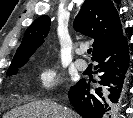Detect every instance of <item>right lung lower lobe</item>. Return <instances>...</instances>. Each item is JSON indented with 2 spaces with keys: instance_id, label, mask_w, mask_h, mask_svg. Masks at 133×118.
<instances>
[{
  "instance_id": "obj_1",
  "label": "right lung lower lobe",
  "mask_w": 133,
  "mask_h": 118,
  "mask_svg": "<svg viewBox=\"0 0 133 118\" xmlns=\"http://www.w3.org/2000/svg\"><path fill=\"white\" fill-rule=\"evenodd\" d=\"M93 61L98 62L96 72L102 73L98 88L90 93L89 83L80 80L70 89L68 97L83 118H108L121 101L128 76L129 52L126 37L102 50Z\"/></svg>"
}]
</instances>
